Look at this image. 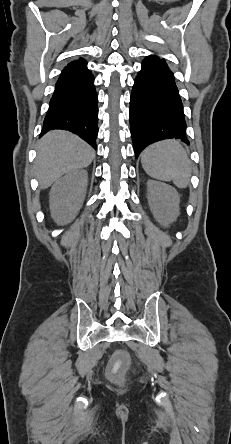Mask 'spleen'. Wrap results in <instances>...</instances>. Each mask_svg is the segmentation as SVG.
<instances>
[{
	"mask_svg": "<svg viewBox=\"0 0 231 444\" xmlns=\"http://www.w3.org/2000/svg\"><path fill=\"white\" fill-rule=\"evenodd\" d=\"M141 164L145 172L157 180L173 181L178 188H186L190 183L191 162L177 140L149 145L142 153Z\"/></svg>",
	"mask_w": 231,
	"mask_h": 444,
	"instance_id": "3e777b00",
	"label": "spleen"
}]
</instances>
